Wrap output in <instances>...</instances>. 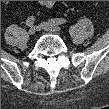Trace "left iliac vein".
Here are the masks:
<instances>
[{
    "instance_id": "left-iliac-vein-1",
    "label": "left iliac vein",
    "mask_w": 109,
    "mask_h": 109,
    "mask_svg": "<svg viewBox=\"0 0 109 109\" xmlns=\"http://www.w3.org/2000/svg\"><path fill=\"white\" fill-rule=\"evenodd\" d=\"M40 28L45 30V31H49V32H59L61 31V27L58 25H54L50 22H43L40 25Z\"/></svg>"
}]
</instances>
